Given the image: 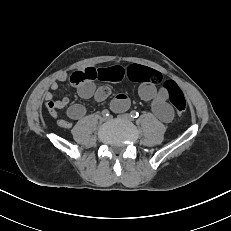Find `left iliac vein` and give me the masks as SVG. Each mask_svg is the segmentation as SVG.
Returning a JSON list of instances; mask_svg holds the SVG:
<instances>
[{
    "instance_id": "left-iliac-vein-1",
    "label": "left iliac vein",
    "mask_w": 231,
    "mask_h": 231,
    "mask_svg": "<svg viewBox=\"0 0 231 231\" xmlns=\"http://www.w3.org/2000/svg\"><path fill=\"white\" fill-rule=\"evenodd\" d=\"M120 118H122L126 121H132L133 120V118L131 117L130 114H122V115H120Z\"/></svg>"
}]
</instances>
